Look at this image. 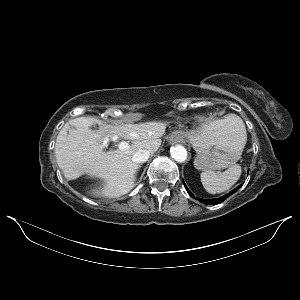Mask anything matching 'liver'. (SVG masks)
<instances>
[{
	"instance_id": "obj_1",
	"label": "liver",
	"mask_w": 300,
	"mask_h": 300,
	"mask_svg": "<svg viewBox=\"0 0 300 300\" xmlns=\"http://www.w3.org/2000/svg\"><path fill=\"white\" fill-rule=\"evenodd\" d=\"M95 123L99 130L90 128ZM70 125L73 129L64 126L56 139L58 166L68 180L87 175L102 181L88 194L103 198H117L131 191L139 169L133 155L141 149L155 153L166 130L163 122L110 125L87 117L75 118ZM110 137L132 140V144L126 150L104 151Z\"/></svg>"
}]
</instances>
